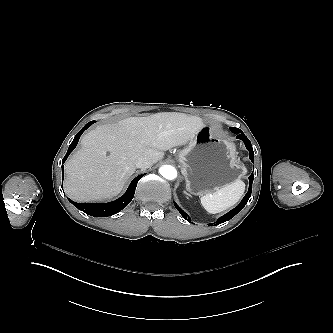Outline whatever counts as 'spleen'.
I'll list each match as a JSON object with an SVG mask.
<instances>
[{"mask_svg":"<svg viewBox=\"0 0 333 333\" xmlns=\"http://www.w3.org/2000/svg\"><path fill=\"white\" fill-rule=\"evenodd\" d=\"M245 190V184L237 179L212 193H206L200 197V202L209 213L222 212L235 205Z\"/></svg>","mask_w":333,"mask_h":333,"instance_id":"spleen-1","label":"spleen"}]
</instances>
